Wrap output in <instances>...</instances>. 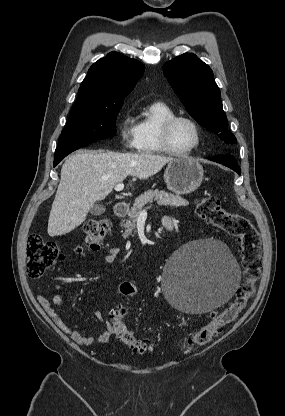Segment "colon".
Returning <instances> with one entry per match:
<instances>
[{
  "instance_id": "1",
  "label": "colon",
  "mask_w": 285,
  "mask_h": 416,
  "mask_svg": "<svg viewBox=\"0 0 285 416\" xmlns=\"http://www.w3.org/2000/svg\"><path fill=\"white\" fill-rule=\"evenodd\" d=\"M196 213L206 223L219 228L226 235L240 242L243 282L232 301L222 311L215 313L209 323L190 333L186 340L189 347L209 343L218 337L227 325L237 319L253 296L262 263L260 237L247 218L227 211L220 200L212 195L197 201ZM83 230L88 247L97 250L107 238L110 224L104 219H90L84 223ZM27 258V273L30 277L37 278L59 262L62 254L55 243L44 240L40 235L32 234L27 242ZM119 293L125 297L135 296L137 287L134 283L123 282L119 286ZM127 315L128 310L123 305H118L111 311L110 321L114 333L121 343L133 351L144 353L151 348V344L148 340L139 338L130 329L126 322Z\"/></svg>"
}]
</instances>
